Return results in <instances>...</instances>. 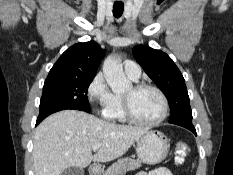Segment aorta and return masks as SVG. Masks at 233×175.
<instances>
[{
	"label": "aorta",
	"mask_w": 233,
	"mask_h": 175,
	"mask_svg": "<svg viewBox=\"0 0 233 175\" xmlns=\"http://www.w3.org/2000/svg\"><path fill=\"white\" fill-rule=\"evenodd\" d=\"M103 74L114 93L124 92L131 87V82L124 75L122 65L113 56L105 59Z\"/></svg>",
	"instance_id": "762f6f07"
}]
</instances>
